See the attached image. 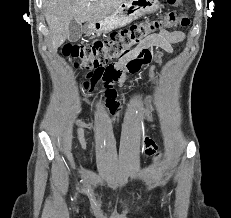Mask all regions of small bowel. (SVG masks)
I'll use <instances>...</instances> for the list:
<instances>
[{"label": "small bowel", "mask_w": 231, "mask_h": 218, "mask_svg": "<svg viewBox=\"0 0 231 218\" xmlns=\"http://www.w3.org/2000/svg\"><path fill=\"white\" fill-rule=\"evenodd\" d=\"M185 35L181 31H167L162 30L159 33L152 34L147 38L143 45L128 56H119L113 63H109L108 66H99V69H90L87 72L89 82L85 83V88L89 85L93 88L97 83L101 82L103 85V94L107 108L111 112H115L119 103L117 101V91L113 84L118 82L122 85L126 79V74L138 72L144 65H151L152 57L147 58H132L141 49H148L150 47L159 48L167 53L173 52V45L183 41ZM162 55L157 54L155 56L154 64L151 67V78L154 88H156V79L154 77V70L161 65ZM119 98H122V94H118ZM146 110L150 114L152 110L151 98L147 99ZM93 124L81 123L76 127V138L79 146L82 150L87 147L84 137V130L92 128ZM154 142L150 138L143 139V149L146 154H151L154 151Z\"/></svg>", "instance_id": "c3829d8e"}]
</instances>
